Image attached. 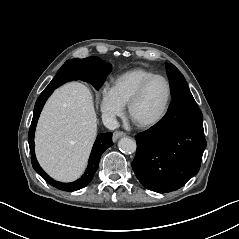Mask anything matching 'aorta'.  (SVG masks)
Listing matches in <instances>:
<instances>
[{"instance_id": "obj_1", "label": "aorta", "mask_w": 239, "mask_h": 239, "mask_svg": "<svg viewBox=\"0 0 239 239\" xmlns=\"http://www.w3.org/2000/svg\"><path fill=\"white\" fill-rule=\"evenodd\" d=\"M118 147L121 151L125 153H135L137 150L136 141L134 139H130L126 137L122 138L119 141Z\"/></svg>"}]
</instances>
